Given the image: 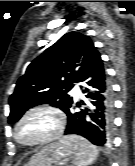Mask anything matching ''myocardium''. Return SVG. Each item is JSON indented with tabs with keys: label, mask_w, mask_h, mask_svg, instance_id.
I'll list each match as a JSON object with an SVG mask.
<instances>
[{
	"label": "myocardium",
	"mask_w": 135,
	"mask_h": 166,
	"mask_svg": "<svg viewBox=\"0 0 135 166\" xmlns=\"http://www.w3.org/2000/svg\"><path fill=\"white\" fill-rule=\"evenodd\" d=\"M36 113L51 114L55 119L54 129L50 134H48L45 137H42L38 140L31 141V142L22 141L18 136V129H19L20 125L27 118H29L31 115L36 114ZM64 126H65V117H64V114L61 109H59L58 107H55L53 105H50V104H40V105H36V106L29 108L19 117V119L16 121L14 128H13V137H14V140L18 144L23 145V146L33 147V146L44 145V144H47V143H50V142L56 140L63 132Z\"/></svg>",
	"instance_id": "f54148a6"
}]
</instances>
